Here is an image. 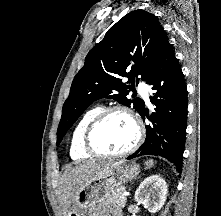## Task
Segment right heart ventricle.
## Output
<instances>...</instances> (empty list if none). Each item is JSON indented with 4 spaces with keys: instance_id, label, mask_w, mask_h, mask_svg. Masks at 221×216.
Returning a JSON list of instances; mask_svg holds the SVG:
<instances>
[{
    "instance_id": "right-heart-ventricle-1",
    "label": "right heart ventricle",
    "mask_w": 221,
    "mask_h": 216,
    "mask_svg": "<svg viewBox=\"0 0 221 216\" xmlns=\"http://www.w3.org/2000/svg\"><path fill=\"white\" fill-rule=\"evenodd\" d=\"M102 110L94 106L83 113L72 132L69 153L73 159H83L91 156L83 147V133L89 122Z\"/></svg>"
}]
</instances>
